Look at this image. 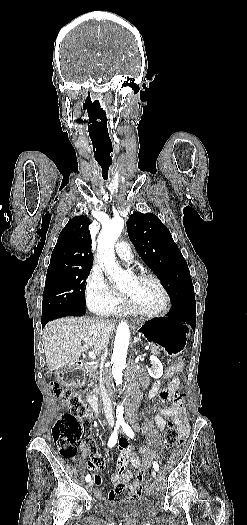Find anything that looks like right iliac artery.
Returning a JSON list of instances; mask_svg holds the SVG:
<instances>
[{
  "instance_id": "82829eb1",
  "label": "right iliac artery",
  "mask_w": 247,
  "mask_h": 525,
  "mask_svg": "<svg viewBox=\"0 0 247 525\" xmlns=\"http://www.w3.org/2000/svg\"><path fill=\"white\" fill-rule=\"evenodd\" d=\"M118 428H119V425L117 424L108 441V447H113L116 444L117 439H118ZM85 480L86 482H89L91 480V476L89 474L86 475Z\"/></svg>"
}]
</instances>
